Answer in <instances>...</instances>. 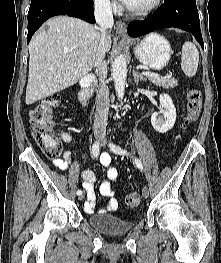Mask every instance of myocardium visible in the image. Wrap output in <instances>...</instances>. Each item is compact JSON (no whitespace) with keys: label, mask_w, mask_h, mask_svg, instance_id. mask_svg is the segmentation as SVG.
I'll use <instances>...</instances> for the list:
<instances>
[{"label":"myocardium","mask_w":221,"mask_h":263,"mask_svg":"<svg viewBox=\"0 0 221 263\" xmlns=\"http://www.w3.org/2000/svg\"><path fill=\"white\" fill-rule=\"evenodd\" d=\"M162 0H154L150 4L144 7H131L129 5H125L126 10L134 15H147L153 11H155L161 5Z\"/></svg>","instance_id":"myocardium-1"}]
</instances>
